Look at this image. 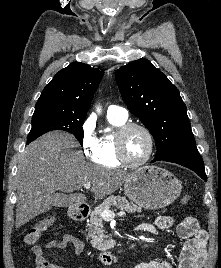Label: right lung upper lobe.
Masks as SVG:
<instances>
[{
    "label": "right lung upper lobe",
    "instance_id": "cb5924a9",
    "mask_svg": "<svg viewBox=\"0 0 221 268\" xmlns=\"http://www.w3.org/2000/svg\"><path fill=\"white\" fill-rule=\"evenodd\" d=\"M103 71L81 62L60 70L43 89L35 111L61 110L86 115Z\"/></svg>",
    "mask_w": 221,
    "mask_h": 268
}]
</instances>
